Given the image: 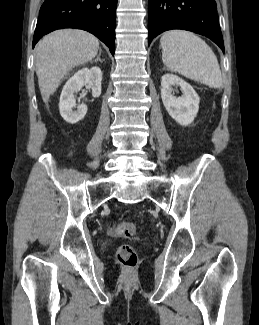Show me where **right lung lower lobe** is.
Listing matches in <instances>:
<instances>
[{"label": "right lung lower lobe", "mask_w": 259, "mask_h": 325, "mask_svg": "<svg viewBox=\"0 0 259 325\" xmlns=\"http://www.w3.org/2000/svg\"><path fill=\"white\" fill-rule=\"evenodd\" d=\"M117 0H45L40 9L33 47L56 29L86 30L103 41L114 55Z\"/></svg>", "instance_id": "right-lung-lower-lobe-1"}]
</instances>
